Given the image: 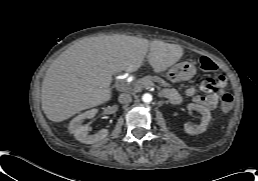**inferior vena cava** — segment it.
<instances>
[{
  "instance_id": "602c4592",
  "label": "inferior vena cava",
  "mask_w": 258,
  "mask_h": 181,
  "mask_svg": "<svg viewBox=\"0 0 258 181\" xmlns=\"http://www.w3.org/2000/svg\"><path fill=\"white\" fill-rule=\"evenodd\" d=\"M118 100L121 104H127L132 101V97L129 93H122L119 95Z\"/></svg>"
}]
</instances>
